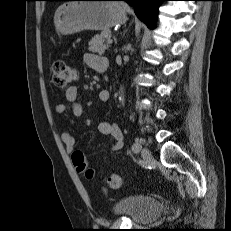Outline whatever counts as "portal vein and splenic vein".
Returning <instances> with one entry per match:
<instances>
[{
	"mask_svg": "<svg viewBox=\"0 0 231 231\" xmlns=\"http://www.w3.org/2000/svg\"><path fill=\"white\" fill-rule=\"evenodd\" d=\"M112 42H113V40H112L111 38H109V39L107 40V43H108V44H112Z\"/></svg>",
	"mask_w": 231,
	"mask_h": 231,
	"instance_id": "1",
	"label": "portal vein and splenic vein"
}]
</instances>
